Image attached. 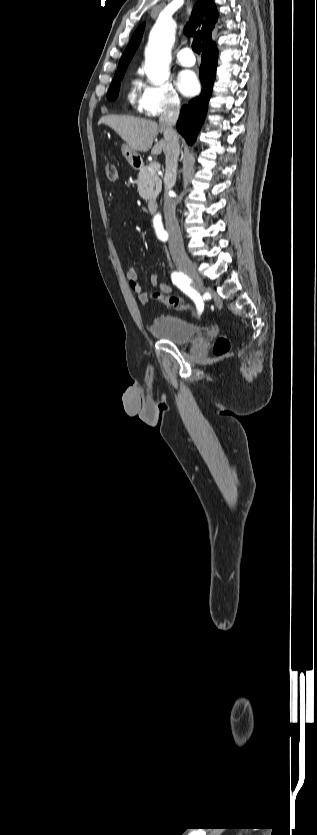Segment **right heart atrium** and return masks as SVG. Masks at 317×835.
Wrapping results in <instances>:
<instances>
[{
    "mask_svg": "<svg viewBox=\"0 0 317 835\" xmlns=\"http://www.w3.org/2000/svg\"><path fill=\"white\" fill-rule=\"evenodd\" d=\"M137 105L142 114L150 118H156L179 111L181 99L170 83L145 84Z\"/></svg>",
    "mask_w": 317,
    "mask_h": 835,
    "instance_id": "obj_1",
    "label": "right heart atrium"
}]
</instances>
